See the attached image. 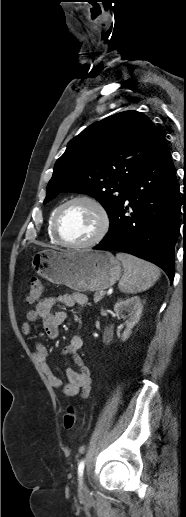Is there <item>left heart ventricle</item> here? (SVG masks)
<instances>
[{"instance_id": "b2bd125f", "label": "left heart ventricle", "mask_w": 186, "mask_h": 517, "mask_svg": "<svg viewBox=\"0 0 186 517\" xmlns=\"http://www.w3.org/2000/svg\"><path fill=\"white\" fill-rule=\"evenodd\" d=\"M99 228V217L95 209L84 202L68 206L61 214L59 231L68 242L81 243L92 238Z\"/></svg>"}]
</instances>
